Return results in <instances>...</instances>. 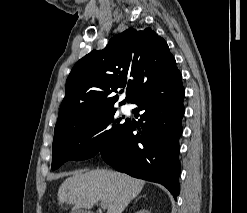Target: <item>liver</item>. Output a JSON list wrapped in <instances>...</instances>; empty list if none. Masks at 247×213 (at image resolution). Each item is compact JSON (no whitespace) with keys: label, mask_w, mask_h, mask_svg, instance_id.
<instances>
[{"label":"liver","mask_w":247,"mask_h":213,"mask_svg":"<svg viewBox=\"0 0 247 213\" xmlns=\"http://www.w3.org/2000/svg\"><path fill=\"white\" fill-rule=\"evenodd\" d=\"M144 184L124 173L97 169L67 178L59 187L57 198L61 204H73L75 209H91L101 201L105 202L107 213H122Z\"/></svg>","instance_id":"obj_1"}]
</instances>
